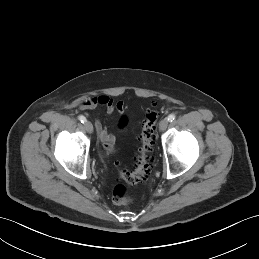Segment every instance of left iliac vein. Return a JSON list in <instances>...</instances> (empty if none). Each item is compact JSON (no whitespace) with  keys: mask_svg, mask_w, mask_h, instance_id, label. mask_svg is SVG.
Masks as SVG:
<instances>
[{"mask_svg":"<svg viewBox=\"0 0 259 259\" xmlns=\"http://www.w3.org/2000/svg\"><path fill=\"white\" fill-rule=\"evenodd\" d=\"M168 127V119H162L159 123V130L161 132L165 131Z\"/></svg>","mask_w":259,"mask_h":259,"instance_id":"4c4485c4","label":"left iliac vein"}]
</instances>
